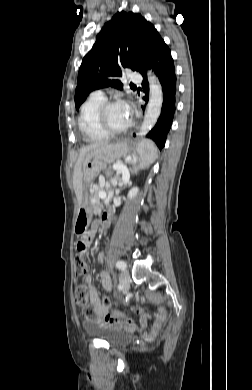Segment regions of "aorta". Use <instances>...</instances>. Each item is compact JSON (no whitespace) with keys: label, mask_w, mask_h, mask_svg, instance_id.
<instances>
[{"label":"aorta","mask_w":252,"mask_h":390,"mask_svg":"<svg viewBox=\"0 0 252 390\" xmlns=\"http://www.w3.org/2000/svg\"><path fill=\"white\" fill-rule=\"evenodd\" d=\"M149 80V102L147 105L143 123L138 132L139 136L146 135L156 124L162 108L163 92L158 78L150 71Z\"/></svg>","instance_id":"762f6f07"}]
</instances>
